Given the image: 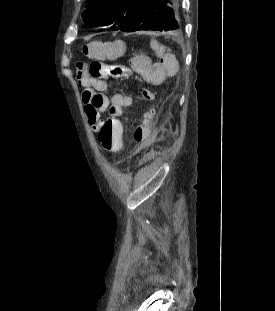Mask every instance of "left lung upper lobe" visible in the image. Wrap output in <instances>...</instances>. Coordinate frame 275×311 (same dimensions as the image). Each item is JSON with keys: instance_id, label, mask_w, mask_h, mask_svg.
Returning <instances> with one entry per match:
<instances>
[{"instance_id": "5c2ea615", "label": "left lung upper lobe", "mask_w": 275, "mask_h": 311, "mask_svg": "<svg viewBox=\"0 0 275 311\" xmlns=\"http://www.w3.org/2000/svg\"><path fill=\"white\" fill-rule=\"evenodd\" d=\"M144 0H87L82 13L85 24L93 27L110 25L120 30Z\"/></svg>"}]
</instances>
